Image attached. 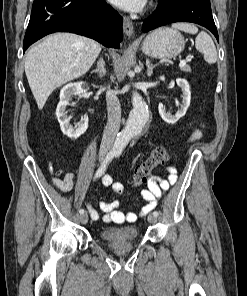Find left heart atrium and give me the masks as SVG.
<instances>
[{
	"instance_id": "obj_1",
	"label": "left heart atrium",
	"mask_w": 247,
	"mask_h": 296,
	"mask_svg": "<svg viewBox=\"0 0 247 296\" xmlns=\"http://www.w3.org/2000/svg\"><path fill=\"white\" fill-rule=\"evenodd\" d=\"M113 5L123 10L137 12L144 8L147 0H109Z\"/></svg>"
}]
</instances>
